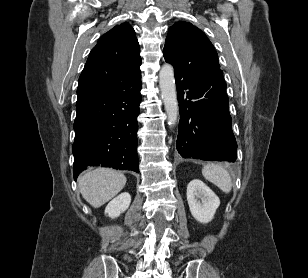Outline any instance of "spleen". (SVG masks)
<instances>
[{"instance_id":"spleen-1","label":"spleen","mask_w":308,"mask_h":278,"mask_svg":"<svg viewBox=\"0 0 308 278\" xmlns=\"http://www.w3.org/2000/svg\"><path fill=\"white\" fill-rule=\"evenodd\" d=\"M202 174L205 179L215 184L223 192L229 193L231 191V176L223 166L215 163H208L203 167Z\"/></svg>"}]
</instances>
